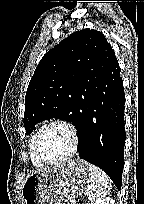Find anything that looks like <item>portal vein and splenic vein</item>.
Here are the masks:
<instances>
[{
  "mask_svg": "<svg viewBox=\"0 0 144 204\" xmlns=\"http://www.w3.org/2000/svg\"><path fill=\"white\" fill-rule=\"evenodd\" d=\"M71 204H76V201H75V200H72V201H71Z\"/></svg>",
  "mask_w": 144,
  "mask_h": 204,
  "instance_id": "obj_1",
  "label": "portal vein and splenic vein"
}]
</instances>
